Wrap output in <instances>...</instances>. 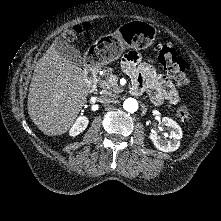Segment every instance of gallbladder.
I'll list each match as a JSON object with an SVG mask.
<instances>
[{"label": "gallbladder", "mask_w": 221, "mask_h": 221, "mask_svg": "<svg viewBox=\"0 0 221 221\" xmlns=\"http://www.w3.org/2000/svg\"><path fill=\"white\" fill-rule=\"evenodd\" d=\"M55 47L61 57L68 59L76 66H82V56L76 47L61 40L55 42Z\"/></svg>", "instance_id": "gallbladder-1"}]
</instances>
